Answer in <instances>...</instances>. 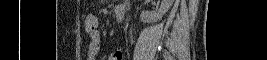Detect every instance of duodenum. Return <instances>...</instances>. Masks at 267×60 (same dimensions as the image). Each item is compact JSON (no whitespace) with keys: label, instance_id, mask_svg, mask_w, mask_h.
I'll use <instances>...</instances> for the list:
<instances>
[{"label":"duodenum","instance_id":"1","mask_svg":"<svg viewBox=\"0 0 267 60\" xmlns=\"http://www.w3.org/2000/svg\"><path fill=\"white\" fill-rule=\"evenodd\" d=\"M125 9L123 7H116L115 8V18L118 21H122L124 18Z\"/></svg>","mask_w":267,"mask_h":60}]
</instances>
